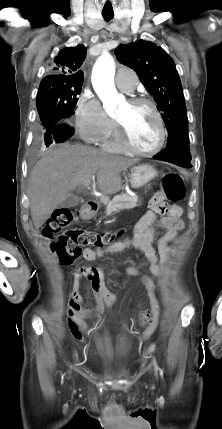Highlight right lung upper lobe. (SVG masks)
<instances>
[{"mask_svg": "<svg viewBox=\"0 0 222 429\" xmlns=\"http://www.w3.org/2000/svg\"><path fill=\"white\" fill-rule=\"evenodd\" d=\"M86 57L82 45L61 50L53 61V75L45 77L41 83L65 82L83 83V72L79 69Z\"/></svg>", "mask_w": 222, "mask_h": 429, "instance_id": "obj_1", "label": "right lung upper lobe"}]
</instances>
